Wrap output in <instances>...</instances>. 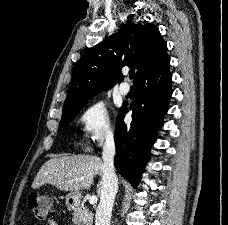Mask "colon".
<instances>
[{
	"mask_svg": "<svg viewBox=\"0 0 228 225\" xmlns=\"http://www.w3.org/2000/svg\"><path fill=\"white\" fill-rule=\"evenodd\" d=\"M29 208L37 219L47 217L50 208L53 207L50 197L40 193H32L27 198Z\"/></svg>",
	"mask_w": 228,
	"mask_h": 225,
	"instance_id": "obj_1",
	"label": "colon"
}]
</instances>
